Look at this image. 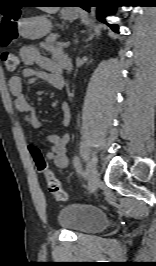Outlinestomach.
I'll list each match as a JSON object with an SVG mask.
<instances>
[{"instance_id": "obj_1", "label": "stomach", "mask_w": 156, "mask_h": 266, "mask_svg": "<svg viewBox=\"0 0 156 266\" xmlns=\"http://www.w3.org/2000/svg\"><path fill=\"white\" fill-rule=\"evenodd\" d=\"M64 19L73 20L78 17L75 10H62ZM52 30V23L45 16H40L32 19H24L19 23L20 34L29 39H40Z\"/></svg>"}]
</instances>
